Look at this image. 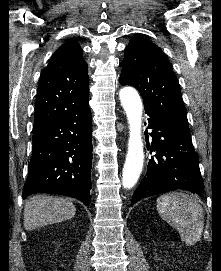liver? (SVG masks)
<instances>
[{
	"instance_id": "obj_1",
	"label": "liver",
	"mask_w": 221,
	"mask_h": 271,
	"mask_svg": "<svg viewBox=\"0 0 221 271\" xmlns=\"http://www.w3.org/2000/svg\"><path fill=\"white\" fill-rule=\"evenodd\" d=\"M76 213V207L72 201L64 197H52V195H33L28 197L24 205L25 229H36L47 223H57L71 219Z\"/></svg>"
}]
</instances>
